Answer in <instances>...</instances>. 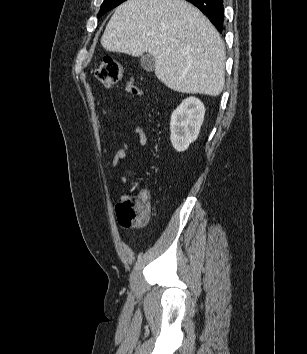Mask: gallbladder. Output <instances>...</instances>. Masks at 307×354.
<instances>
[{
	"mask_svg": "<svg viewBox=\"0 0 307 354\" xmlns=\"http://www.w3.org/2000/svg\"><path fill=\"white\" fill-rule=\"evenodd\" d=\"M140 64L141 67L147 72H151L155 69V59L149 54L141 56Z\"/></svg>",
	"mask_w": 307,
	"mask_h": 354,
	"instance_id": "1",
	"label": "gallbladder"
}]
</instances>
